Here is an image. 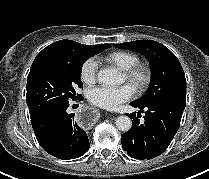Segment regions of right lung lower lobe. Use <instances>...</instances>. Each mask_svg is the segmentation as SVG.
Returning a JSON list of instances; mask_svg holds the SVG:
<instances>
[{
    "instance_id": "1",
    "label": "right lung lower lobe",
    "mask_w": 209,
    "mask_h": 179,
    "mask_svg": "<svg viewBox=\"0 0 209 179\" xmlns=\"http://www.w3.org/2000/svg\"><path fill=\"white\" fill-rule=\"evenodd\" d=\"M69 102L59 104L31 121L40 146L50 155L64 160L84 155L90 146L88 136L67 113Z\"/></svg>"
}]
</instances>
